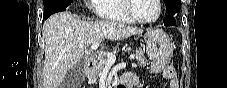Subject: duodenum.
I'll return each mask as SVG.
<instances>
[{
    "mask_svg": "<svg viewBox=\"0 0 227 88\" xmlns=\"http://www.w3.org/2000/svg\"><path fill=\"white\" fill-rule=\"evenodd\" d=\"M97 60L95 58H89L88 60L85 61V68H92L96 64ZM133 85L132 80H124L120 79L118 83L114 86V88H123V87H128Z\"/></svg>",
    "mask_w": 227,
    "mask_h": 88,
    "instance_id": "duodenum-1",
    "label": "duodenum"
}]
</instances>
